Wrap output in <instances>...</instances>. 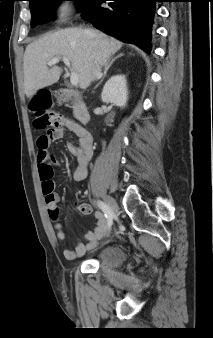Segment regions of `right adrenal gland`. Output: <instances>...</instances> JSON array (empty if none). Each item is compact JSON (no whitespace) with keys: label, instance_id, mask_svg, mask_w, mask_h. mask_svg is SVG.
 I'll return each mask as SVG.
<instances>
[{"label":"right adrenal gland","instance_id":"1","mask_svg":"<svg viewBox=\"0 0 213 338\" xmlns=\"http://www.w3.org/2000/svg\"><path fill=\"white\" fill-rule=\"evenodd\" d=\"M124 54L120 53L119 55H117L116 57H114L111 61H109L108 63L105 64V69H104V73L103 75L100 77V81L98 82V84L95 86V89L102 83V81L104 80V78L107 75V72L109 70V68L112 66V64L116 61V59L122 57Z\"/></svg>","mask_w":213,"mask_h":338}]
</instances>
